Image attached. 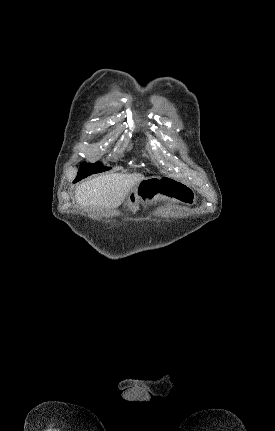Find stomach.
Here are the masks:
<instances>
[{
  "label": "stomach",
  "instance_id": "1",
  "mask_svg": "<svg viewBox=\"0 0 275 431\" xmlns=\"http://www.w3.org/2000/svg\"><path fill=\"white\" fill-rule=\"evenodd\" d=\"M128 206L134 209L139 201L151 205L157 201H174L187 206L196 203L194 191L184 182L169 176H151L142 179L129 193Z\"/></svg>",
  "mask_w": 275,
  "mask_h": 431
}]
</instances>
